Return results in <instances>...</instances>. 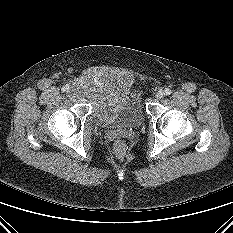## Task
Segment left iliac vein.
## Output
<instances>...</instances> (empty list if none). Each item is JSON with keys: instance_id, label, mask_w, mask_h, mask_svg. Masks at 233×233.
Segmentation results:
<instances>
[{"instance_id": "left-iliac-vein-1", "label": "left iliac vein", "mask_w": 233, "mask_h": 233, "mask_svg": "<svg viewBox=\"0 0 233 233\" xmlns=\"http://www.w3.org/2000/svg\"><path fill=\"white\" fill-rule=\"evenodd\" d=\"M163 96H164V91L163 90L157 91V93H156V98L157 99H161V98H163Z\"/></svg>"}]
</instances>
